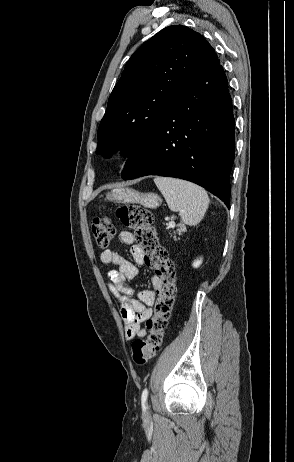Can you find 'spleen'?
Wrapping results in <instances>:
<instances>
[{
  "mask_svg": "<svg viewBox=\"0 0 294 462\" xmlns=\"http://www.w3.org/2000/svg\"><path fill=\"white\" fill-rule=\"evenodd\" d=\"M154 182L169 208L180 212L185 224L192 226L202 220L209 206V197L203 188L188 181L168 177H156Z\"/></svg>",
  "mask_w": 294,
  "mask_h": 462,
  "instance_id": "3e777b00",
  "label": "spleen"
}]
</instances>
